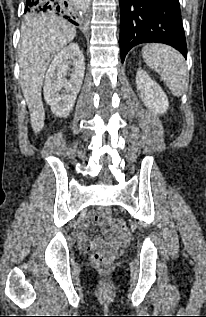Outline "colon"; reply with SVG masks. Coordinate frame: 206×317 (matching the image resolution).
<instances>
[{"mask_svg": "<svg viewBox=\"0 0 206 317\" xmlns=\"http://www.w3.org/2000/svg\"><path fill=\"white\" fill-rule=\"evenodd\" d=\"M101 221H112L117 227L123 225L120 219H113L108 209L101 208L97 212ZM84 247L91 252L92 262L99 268H107L116 258L115 252L105 248L99 240L89 241Z\"/></svg>", "mask_w": 206, "mask_h": 317, "instance_id": "1", "label": "colon"}]
</instances>
